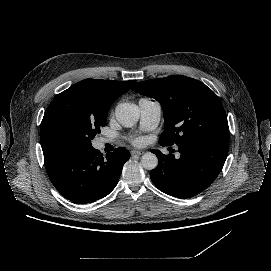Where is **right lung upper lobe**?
<instances>
[{"instance_id":"right-lung-upper-lobe-1","label":"right lung upper lobe","mask_w":271,"mask_h":271,"mask_svg":"<svg viewBox=\"0 0 271 271\" xmlns=\"http://www.w3.org/2000/svg\"><path fill=\"white\" fill-rule=\"evenodd\" d=\"M135 80L115 81L100 79L82 80L63 93H70L77 97L82 105L97 115H107L112 103L126 93Z\"/></svg>"}]
</instances>
